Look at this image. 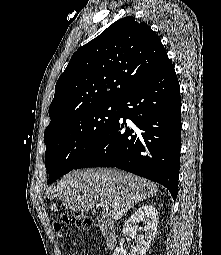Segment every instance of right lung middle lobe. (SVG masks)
Segmentation results:
<instances>
[{
    "label": "right lung middle lobe",
    "instance_id": "obj_1",
    "mask_svg": "<svg viewBox=\"0 0 221 255\" xmlns=\"http://www.w3.org/2000/svg\"><path fill=\"white\" fill-rule=\"evenodd\" d=\"M119 103H102L81 109L44 133L48 184L76 165L99 142L117 119Z\"/></svg>",
    "mask_w": 221,
    "mask_h": 255
}]
</instances>
